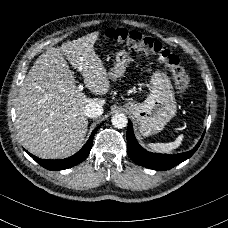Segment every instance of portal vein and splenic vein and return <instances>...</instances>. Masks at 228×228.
<instances>
[{
	"label": "portal vein and splenic vein",
	"mask_w": 228,
	"mask_h": 228,
	"mask_svg": "<svg viewBox=\"0 0 228 228\" xmlns=\"http://www.w3.org/2000/svg\"><path fill=\"white\" fill-rule=\"evenodd\" d=\"M78 89H79L80 91H82V90H83V85H79Z\"/></svg>",
	"instance_id": "1"
}]
</instances>
